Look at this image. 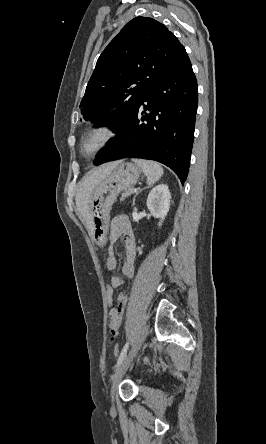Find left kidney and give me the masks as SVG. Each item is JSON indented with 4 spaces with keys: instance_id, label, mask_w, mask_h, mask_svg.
I'll use <instances>...</instances> for the list:
<instances>
[{
    "instance_id": "obj_1",
    "label": "left kidney",
    "mask_w": 266,
    "mask_h": 444,
    "mask_svg": "<svg viewBox=\"0 0 266 444\" xmlns=\"http://www.w3.org/2000/svg\"><path fill=\"white\" fill-rule=\"evenodd\" d=\"M170 199V191L166 184L157 185L148 195L147 207L154 217L160 218L159 226L162 225L170 209Z\"/></svg>"
}]
</instances>
